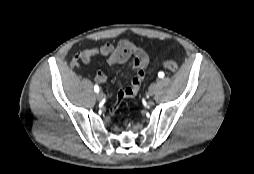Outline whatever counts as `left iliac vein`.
<instances>
[{
	"instance_id": "left-iliac-vein-1",
	"label": "left iliac vein",
	"mask_w": 254,
	"mask_h": 174,
	"mask_svg": "<svg viewBox=\"0 0 254 174\" xmlns=\"http://www.w3.org/2000/svg\"><path fill=\"white\" fill-rule=\"evenodd\" d=\"M157 84L153 83L150 85L149 89H148V95L152 96L155 94V92L157 91Z\"/></svg>"
}]
</instances>
